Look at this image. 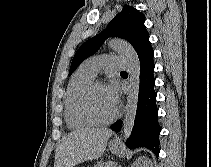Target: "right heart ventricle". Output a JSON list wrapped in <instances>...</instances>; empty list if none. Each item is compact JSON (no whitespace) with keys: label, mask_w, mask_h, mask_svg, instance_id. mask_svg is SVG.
<instances>
[{"label":"right heart ventricle","mask_w":211,"mask_h":167,"mask_svg":"<svg viewBox=\"0 0 211 167\" xmlns=\"http://www.w3.org/2000/svg\"><path fill=\"white\" fill-rule=\"evenodd\" d=\"M94 78L95 76L80 67L68 85L65 95V119L71 129H86L94 125L83 115L80 109L82 93Z\"/></svg>","instance_id":"e07e8e85"}]
</instances>
